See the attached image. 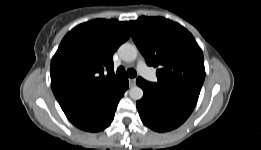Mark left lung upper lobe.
Instances as JSON below:
<instances>
[{
  "mask_svg": "<svg viewBox=\"0 0 261 150\" xmlns=\"http://www.w3.org/2000/svg\"><path fill=\"white\" fill-rule=\"evenodd\" d=\"M132 38L146 63L156 71L160 88H177L199 96L205 78L203 52L183 26L162 17L130 21Z\"/></svg>",
  "mask_w": 261,
  "mask_h": 150,
  "instance_id": "left-lung-upper-lobe-1",
  "label": "left lung upper lobe"
}]
</instances>
